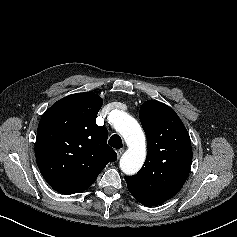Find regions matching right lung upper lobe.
I'll use <instances>...</instances> for the list:
<instances>
[{
    "label": "right lung upper lobe",
    "instance_id": "1",
    "mask_svg": "<svg viewBox=\"0 0 237 237\" xmlns=\"http://www.w3.org/2000/svg\"><path fill=\"white\" fill-rule=\"evenodd\" d=\"M103 100L94 93L66 96L43 114L35 143L38 168L47 183L65 195L89 188L117 153L108 131L96 124Z\"/></svg>",
    "mask_w": 237,
    "mask_h": 237
}]
</instances>
